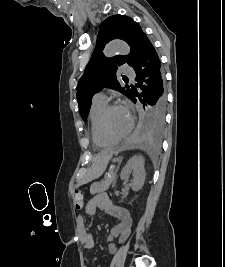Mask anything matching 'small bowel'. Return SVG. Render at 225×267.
I'll return each mask as SVG.
<instances>
[{"instance_id": "c3829d8e", "label": "small bowel", "mask_w": 225, "mask_h": 267, "mask_svg": "<svg viewBox=\"0 0 225 267\" xmlns=\"http://www.w3.org/2000/svg\"><path fill=\"white\" fill-rule=\"evenodd\" d=\"M98 209L112 215L115 218V222L110 228L107 240L108 251L111 254H115L117 247L113 241L114 239H118L119 242H124L128 238L131 231L132 218L125 208L114 205L109 196L104 193L94 196L87 203L85 208L86 213L89 215H93ZM82 245L84 249H90L94 245L93 238L87 231L84 232Z\"/></svg>"}]
</instances>
